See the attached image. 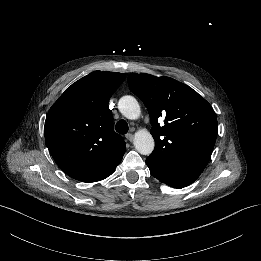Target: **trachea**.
Segmentation results:
<instances>
[{
	"instance_id": "1",
	"label": "trachea",
	"mask_w": 261,
	"mask_h": 261,
	"mask_svg": "<svg viewBox=\"0 0 261 261\" xmlns=\"http://www.w3.org/2000/svg\"><path fill=\"white\" fill-rule=\"evenodd\" d=\"M115 129L120 134H126L128 132V123L125 120H119L116 123Z\"/></svg>"
}]
</instances>
